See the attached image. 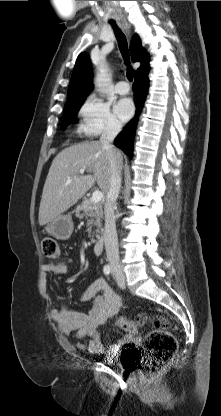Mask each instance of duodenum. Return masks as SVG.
I'll return each mask as SVG.
<instances>
[{"label": "duodenum", "instance_id": "410a0bca", "mask_svg": "<svg viewBox=\"0 0 221 416\" xmlns=\"http://www.w3.org/2000/svg\"><path fill=\"white\" fill-rule=\"evenodd\" d=\"M104 247V240L102 237L98 238L93 244V253L95 255H100Z\"/></svg>", "mask_w": 221, "mask_h": 416}]
</instances>
